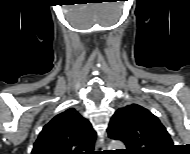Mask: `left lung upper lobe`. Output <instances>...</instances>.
Masks as SVG:
<instances>
[{
  "mask_svg": "<svg viewBox=\"0 0 190 154\" xmlns=\"http://www.w3.org/2000/svg\"><path fill=\"white\" fill-rule=\"evenodd\" d=\"M107 131L111 139L125 143L128 154H159L173 147L171 137L159 119L137 104L118 109Z\"/></svg>",
  "mask_w": 190,
  "mask_h": 154,
  "instance_id": "obj_1",
  "label": "left lung upper lobe"
}]
</instances>
